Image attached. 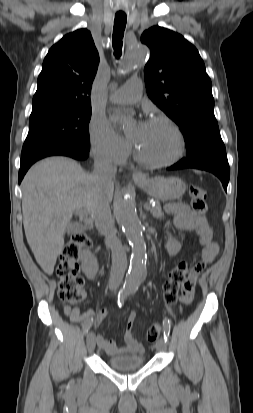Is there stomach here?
Returning <instances> with one entry per match:
<instances>
[{"mask_svg": "<svg viewBox=\"0 0 253 413\" xmlns=\"http://www.w3.org/2000/svg\"><path fill=\"white\" fill-rule=\"evenodd\" d=\"M137 183L148 195L161 201L178 199L186 190L185 183L176 177H154Z\"/></svg>", "mask_w": 253, "mask_h": 413, "instance_id": "obj_1", "label": "stomach"}]
</instances>
